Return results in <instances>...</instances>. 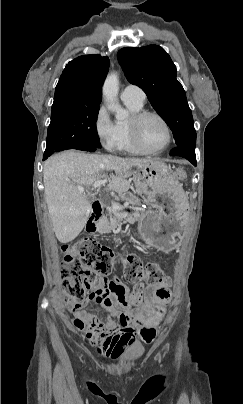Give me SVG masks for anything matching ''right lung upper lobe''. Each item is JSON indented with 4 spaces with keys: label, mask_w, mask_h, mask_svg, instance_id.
<instances>
[{
    "label": "right lung upper lobe",
    "mask_w": 243,
    "mask_h": 404,
    "mask_svg": "<svg viewBox=\"0 0 243 404\" xmlns=\"http://www.w3.org/2000/svg\"><path fill=\"white\" fill-rule=\"evenodd\" d=\"M109 59L100 55H83L66 65L55 89L52 107L63 105H99Z\"/></svg>",
    "instance_id": "1"
}]
</instances>
